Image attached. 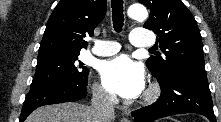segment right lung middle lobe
I'll return each mask as SVG.
<instances>
[{
    "instance_id": "dd1d6c3e",
    "label": "right lung middle lobe",
    "mask_w": 221,
    "mask_h": 122,
    "mask_svg": "<svg viewBox=\"0 0 221 122\" xmlns=\"http://www.w3.org/2000/svg\"><path fill=\"white\" fill-rule=\"evenodd\" d=\"M89 70L78 60V55H59L38 59L31 88L59 83H82Z\"/></svg>"
}]
</instances>
